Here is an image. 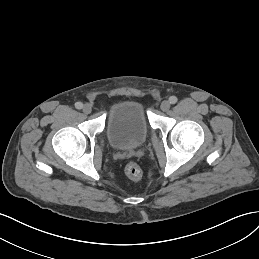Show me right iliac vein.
I'll return each mask as SVG.
<instances>
[{"label":"right iliac vein","mask_w":259,"mask_h":259,"mask_svg":"<svg viewBox=\"0 0 259 259\" xmlns=\"http://www.w3.org/2000/svg\"><path fill=\"white\" fill-rule=\"evenodd\" d=\"M91 111H92V108H91V106H90L89 104H85V105L83 106V112H84L85 114H90Z\"/></svg>","instance_id":"1"}]
</instances>
